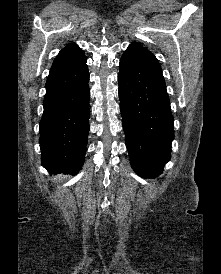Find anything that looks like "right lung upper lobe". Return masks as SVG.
<instances>
[{
  "label": "right lung upper lobe",
  "mask_w": 221,
  "mask_h": 274,
  "mask_svg": "<svg viewBox=\"0 0 221 274\" xmlns=\"http://www.w3.org/2000/svg\"><path fill=\"white\" fill-rule=\"evenodd\" d=\"M85 58L86 57L84 52L81 50V48H79L78 45L74 43L69 44L64 49H62L58 56L55 58L50 69V73L78 63Z\"/></svg>",
  "instance_id": "1"
}]
</instances>
